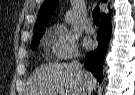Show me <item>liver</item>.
<instances>
[{"instance_id":"obj_1","label":"liver","mask_w":135,"mask_h":95,"mask_svg":"<svg viewBox=\"0 0 135 95\" xmlns=\"http://www.w3.org/2000/svg\"><path fill=\"white\" fill-rule=\"evenodd\" d=\"M86 73L93 90L97 80L91 73ZM86 87L83 77L70 64H48L32 73L25 95H61V92L64 95H83Z\"/></svg>"}]
</instances>
